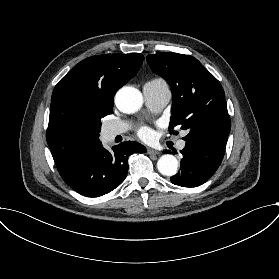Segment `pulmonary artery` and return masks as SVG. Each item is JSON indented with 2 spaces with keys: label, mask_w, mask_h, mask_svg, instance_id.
I'll list each match as a JSON object with an SVG mask.
<instances>
[{
  "label": "pulmonary artery",
  "mask_w": 279,
  "mask_h": 279,
  "mask_svg": "<svg viewBox=\"0 0 279 279\" xmlns=\"http://www.w3.org/2000/svg\"><path fill=\"white\" fill-rule=\"evenodd\" d=\"M143 96L145 103L149 109L154 112H159L171 99V91L168 84L163 79H153L143 86ZM131 128V124L126 121H117L108 123L104 127V132L107 136L116 137L127 132ZM185 142L179 143V148L182 149Z\"/></svg>",
  "instance_id": "1"
}]
</instances>
